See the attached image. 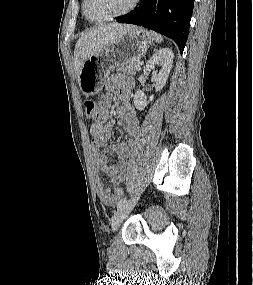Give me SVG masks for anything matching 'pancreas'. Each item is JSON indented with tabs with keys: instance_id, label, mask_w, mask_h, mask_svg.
<instances>
[{
	"instance_id": "pancreas-1",
	"label": "pancreas",
	"mask_w": 253,
	"mask_h": 285,
	"mask_svg": "<svg viewBox=\"0 0 253 285\" xmlns=\"http://www.w3.org/2000/svg\"><path fill=\"white\" fill-rule=\"evenodd\" d=\"M137 65H138V62H133V63H130L128 65L118 67L117 71H121L127 75H132L135 73Z\"/></svg>"
}]
</instances>
